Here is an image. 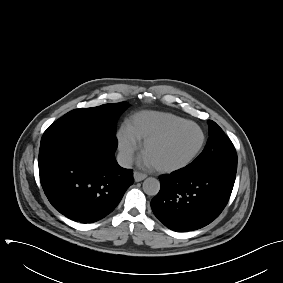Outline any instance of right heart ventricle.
<instances>
[{
  "label": "right heart ventricle",
  "instance_id": "1",
  "mask_svg": "<svg viewBox=\"0 0 283 283\" xmlns=\"http://www.w3.org/2000/svg\"><path fill=\"white\" fill-rule=\"evenodd\" d=\"M183 120L185 119L168 112L140 111L134 113L125 121L124 129L135 142H142Z\"/></svg>",
  "mask_w": 283,
  "mask_h": 283
}]
</instances>
